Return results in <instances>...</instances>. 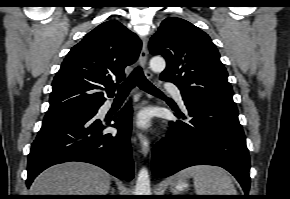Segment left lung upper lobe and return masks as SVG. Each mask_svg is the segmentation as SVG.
Here are the masks:
<instances>
[{
    "mask_svg": "<svg viewBox=\"0 0 290 199\" xmlns=\"http://www.w3.org/2000/svg\"><path fill=\"white\" fill-rule=\"evenodd\" d=\"M152 55H162L167 67L160 79L178 86L183 99H198L237 110L228 74L210 37L181 18L165 19L149 42Z\"/></svg>",
    "mask_w": 290,
    "mask_h": 199,
    "instance_id": "obj_1",
    "label": "left lung upper lobe"
}]
</instances>
